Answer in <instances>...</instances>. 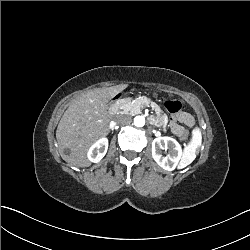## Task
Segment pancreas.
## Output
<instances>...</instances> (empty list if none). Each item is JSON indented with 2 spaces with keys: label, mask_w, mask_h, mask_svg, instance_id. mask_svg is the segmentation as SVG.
I'll use <instances>...</instances> for the list:
<instances>
[{
  "label": "pancreas",
  "mask_w": 250,
  "mask_h": 250,
  "mask_svg": "<svg viewBox=\"0 0 250 250\" xmlns=\"http://www.w3.org/2000/svg\"><path fill=\"white\" fill-rule=\"evenodd\" d=\"M137 103L135 104H131L130 100H126V107L123 110L124 113H134L136 107H137Z\"/></svg>",
  "instance_id": "1"
}]
</instances>
